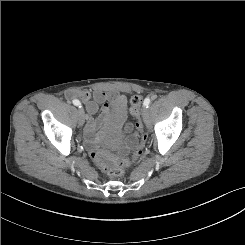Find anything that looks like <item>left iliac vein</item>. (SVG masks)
I'll use <instances>...</instances> for the list:
<instances>
[{
    "instance_id": "left-iliac-vein-1",
    "label": "left iliac vein",
    "mask_w": 245,
    "mask_h": 245,
    "mask_svg": "<svg viewBox=\"0 0 245 245\" xmlns=\"http://www.w3.org/2000/svg\"><path fill=\"white\" fill-rule=\"evenodd\" d=\"M142 115H143V119H144V122H145L146 126L148 128H150V126H151V119H150L148 110L146 108H143Z\"/></svg>"
}]
</instances>
